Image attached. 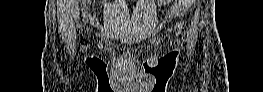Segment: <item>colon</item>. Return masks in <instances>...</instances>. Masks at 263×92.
I'll return each instance as SVG.
<instances>
[{"mask_svg": "<svg viewBox=\"0 0 263 92\" xmlns=\"http://www.w3.org/2000/svg\"><path fill=\"white\" fill-rule=\"evenodd\" d=\"M156 2H164V1H156Z\"/></svg>", "mask_w": 263, "mask_h": 92, "instance_id": "colon-1", "label": "colon"}]
</instances>
